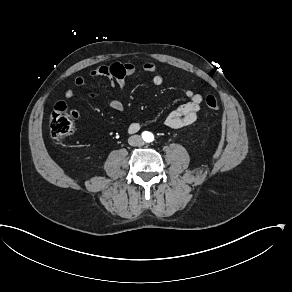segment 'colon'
<instances>
[{"label":"colon","mask_w":292,"mask_h":292,"mask_svg":"<svg viewBox=\"0 0 292 292\" xmlns=\"http://www.w3.org/2000/svg\"><path fill=\"white\" fill-rule=\"evenodd\" d=\"M204 105L210 111L219 109V101L215 96H207ZM77 119L78 112L66 103L59 101L54 105L50 117V132L55 146L64 144L67 137L72 133Z\"/></svg>","instance_id":"5ec220e1"}]
</instances>
